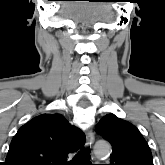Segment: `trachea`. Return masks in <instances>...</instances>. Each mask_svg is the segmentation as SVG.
Listing matches in <instances>:
<instances>
[{
    "instance_id": "1",
    "label": "trachea",
    "mask_w": 165,
    "mask_h": 165,
    "mask_svg": "<svg viewBox=\"0 0 165 165\" xmlns=\"http://www.w3.org/2000/svg\"><path fill=\"white\" fill-rule=\"evenodd\" d=\"M71 165H90V149H83L73 158Z\"/></svg>"
}]
</instances>
